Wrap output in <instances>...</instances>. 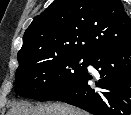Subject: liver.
Instances as JSON below:
<instances>
[{"instance_id": "obj_1", "label": "liver", "mask_w": 131, "mask_h": 115, "mask_svg": "<svg viewBox=\"0 0 131 115\" xmlns=\"http://www.w3.org/2000/svg\"><path fill=\"white\" fill-rule=\"evenodd\" d=\"M7 115H89L88 113L61 103L33 106L28 102L15 104Z\"/></svg>"}]
</instances>
